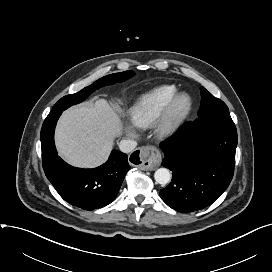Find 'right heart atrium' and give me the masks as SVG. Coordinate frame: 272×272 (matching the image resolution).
<instances>
[{"mask_svg": "<svg viewBox=\"0 0 272 272\" xmlns=\"http://www.w3.org/2000/svg\"><path fill=\"white\" fill-rule=\"evenodd\" d=\"M125 131L129 136H135L136 135V131L131 125H126Z\"/></svg>", "mask_w": 272, "mask_h": 272, "instance_id": "d8ad5b80", "label": "right heart atrium"}]
</instances>
